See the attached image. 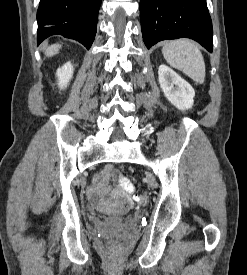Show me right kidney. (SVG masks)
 I'll list each match as a JSON object with an SVG mask.
<instances>
[{
    "instance_id": "obj_1",
    "label": "right kidney",
    "mask_w": 247,
    "mask_h": 275,
    "mask_svg": "<svg viewBox=\"0 0 247 275\" xmlns=\"http://www.w3.org/2000/svg\"><path fill=\"white\" fill-rule=\"evenodd\" d=\"M58 77V86L60 89H64L67 87L69 81L73 76V66L70 62H67L61 68H59L56 72Z\"/></svg>"
}]
</instances>
